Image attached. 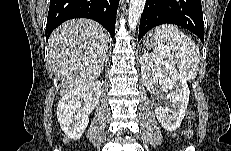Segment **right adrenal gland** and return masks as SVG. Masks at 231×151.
<instances>
[{
  "instance_id": "1",
  "label": "right adrenal gland",
  "mask_w": 231,
  "mask_h": 151,
  "mask_svg": "<svg viewBox=\"0 0 231 151\" xmlns=\"http://www.w3.org/2000/svg\"><path fill=\"white\" fill-rule=\"evenodd\" d=\"M107 64H108V57H106L105 59L104 66H107Z\"/></svg>"
}]
</instances>
